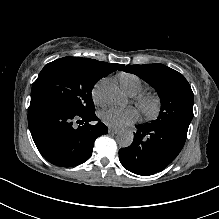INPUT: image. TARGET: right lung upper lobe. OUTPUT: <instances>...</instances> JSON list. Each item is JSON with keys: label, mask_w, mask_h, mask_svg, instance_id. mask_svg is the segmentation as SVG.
Listing matches in <instances>:
<instances>
[{"label": "right lung upper lobe", "mask_w": 219, "mask_h": 219, "mask_svg": "<svg viewBox=\"0 0 219 219\" xmlns=\"http://www.w3.org/2000/svg\"><path fill=\"white\" fill-rule=\"evenodd\" d=\"M92 60H94V59H92ZM117 65L120 67V69H122L124 67V65H122V64H117Z\"/></svg>", "instance_id": "1"}]
</instances>
